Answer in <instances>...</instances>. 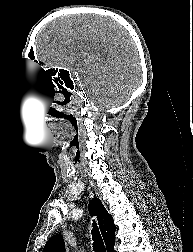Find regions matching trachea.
Returning a JSON list of instances; mask_svg holds the SVG:
<instances>
[{"mask_svg": "<svg viewBox=\"0 0 193 252\" xmlns=\"http://www.w3.org/2000/svg\"><path fill=\"white\" fill-rule=\"evenodd\" d=\"M93 249L95 252H106L105 245L97 224L93 223L92 228Z\"/></svg>", "mask_w": 193, "mask_h": 252, "instance_id": "3493384b", "label": "trachea"}]
</instances>
